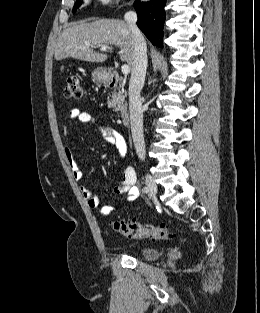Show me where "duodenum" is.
<instances>
[{"label": "duodenum", "instance_id": "1", "mask_svg": "<svg viewBox=\"0 0 260 313\" xmlns=\"http://www.w3.org/2000/svg\"><path fill=\"white\" fill-rule=\"evenodd\" d=\"M105 84L107 87L115 88L120 84V78L113 69H107L105 72ZM121 121L124 125H128L130 121V114L127 109H122L120 112Z\"/></svg>", "mask_w": 260, "mask_h": 313}]
</instances>
